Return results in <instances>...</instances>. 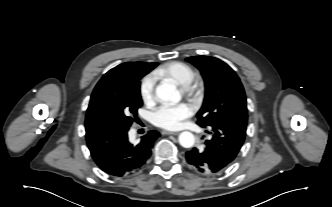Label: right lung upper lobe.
Segmentation results:
<instances>
[{"instance_id": "obj_1", "label": "right lung upper lobe", "mask_w": 332, "mask_h": 207, "mask_svg": "<svg viewBox=\"0 0 332 207\" xmlns=\"http://www.w3.org/2000/svg\"><path fill=\"white\" fill-rule=\"evenodd\" d=\"M157 64L158 63L126 62V63L120 64L117 67L111 69L105 75L113 74V73H116L119 71L128 70V69L134 68V67H141V68H145V69H148L151 71L153 68H155L157 66Z\"/></svg>"}]
</instances>
